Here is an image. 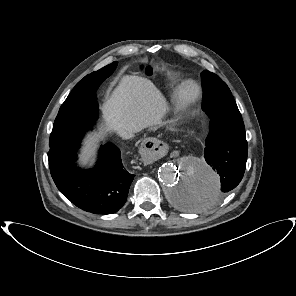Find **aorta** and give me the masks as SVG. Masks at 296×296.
Masks as SVG:
<instances>
[{"label":"aorta","instance_id":"762f6f07","mask_svg":"<svg viewBox=\"0 0 296 296\" xmlns=\"http://www.w3.org/2000/svg\"><path fill=\"white\" fill-rule=\"evenodd\" d=\"M158 176L166 187L168 201L179 211L206 212L219 201V176L198 158H186L180 167L164 164Z\"/></svg>","mask_w":296,"mask_h":296}]
</instances>
